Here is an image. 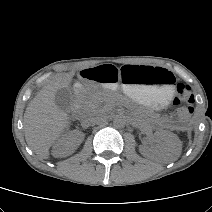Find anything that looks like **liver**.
I'll list each match as a JSON object with an SVG mask.
<instances>
[{
	"mask_svg": "<svg viewBox=\"0 0 212 212\" xmlns=\"http://www.w3.org/2000/svg\"><path fill=\"white\" fill-rule=\"evenodd\" d=\"M74 72L57 75L32 99L24 113L25 139L41 158H49V148L68 126V115L55 104V93L68 88Z\"/></svg>",
	"mask_w": 212,
	"mask_h": 212,
	"instance_id": "liver-1",
	"label": "liver"
}]
</instances>
